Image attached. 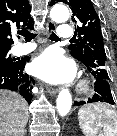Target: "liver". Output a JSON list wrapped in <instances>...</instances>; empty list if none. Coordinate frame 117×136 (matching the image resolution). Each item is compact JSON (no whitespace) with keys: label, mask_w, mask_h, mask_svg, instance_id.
<instances>
[{"label":"liver","mask_w":117,"mask_h":136,"mask_svg":"<svg viewBox=\"0 0 117 136\" xmlns=\"http://www.w3.org/2000/svg\"><path fill=\"white\" fill-rule=\"evenodd\" d=\"M28 116V103L21 95L0 90V136H23Z\"/></svg>","instance_id":"obj_1"}]
</instances>
